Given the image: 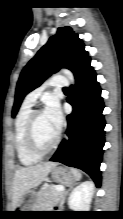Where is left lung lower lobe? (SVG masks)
I'll use <instances>...</instances> for the list:
<instances>
[{"label":"left lung lower lobe","instance_id":"left-lung-lower-lobe-1","mask_svg":"<svg viewBox=\"0 0 123 219\" xmlns=\"http://www.w3.org/2000/svg\"><path fill=\"white\" fill-rule=\"evenodd\" d=\"M90 58L75 72L76 85L67 98L73 112L67 116V139H64L50 161L60 162L87 172L96 185L101 183L105 120L101 88Z\"/></svg>","mask_w":123,"mask_h":219}]
</instances>
